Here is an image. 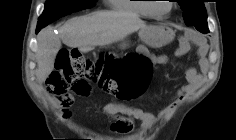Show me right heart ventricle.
<instances>
[{"label": "right heart ventricle", "instance_id": "1", "mask_svg": "<svg viewBox=\"0 0 236 140\" xmlns=\"http://www.w3.org/2000/svg\"><path fill=\"white\" fill-rule=\"evenodd\" d=\"M147 0H112V7L121 12L133 13L142 17L153 16L150 5L144 3Z\"/></svg>", "mask_w": 236, "mask_h": 140}]
</instances>
